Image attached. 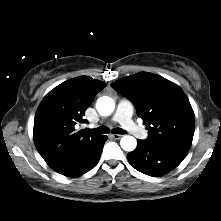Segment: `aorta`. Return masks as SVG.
<instances>
[{
	"instance_id": "obj_1",
	"label": "aorta",
	"mask_w": 221,
	"mask_h": 221,
	"mask_svg": "<svg viewBox=\"0 0 221 221\" xmlns=\"http://www.w3.org/2000/svg\"><path fill=\"white\" fill-rule=\"evenodd\" d=\"M115 108V102L111 97L103 96L97 100L96 109L102 116L110 115ZM121 148L127 152L133 151L137 146V141L133 136H123L120 140Z\"/></svg>"
}]
</instances>
